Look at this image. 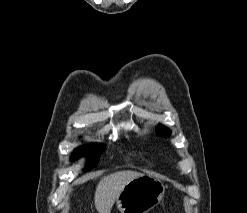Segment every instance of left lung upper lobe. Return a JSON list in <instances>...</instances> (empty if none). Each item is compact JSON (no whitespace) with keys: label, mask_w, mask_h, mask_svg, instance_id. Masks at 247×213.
<instances>
[{"label":"left lung upper lobe","mask_w":247,"mask_h":213,"mask_svg":"<svg viewBox=\"0 0 247 213\" xmlns=\"http://www.w3.org/2000/svg\"><path fill=\"white\" fill-rule=\"evenodd\" d=\"M156 133L158 134V135H160V136H163V137H168V136H170V130L167 128V127H165V126H162V125H158L157 127H156Z\"/></svg>","instance_id":"1"}]
</instances>
